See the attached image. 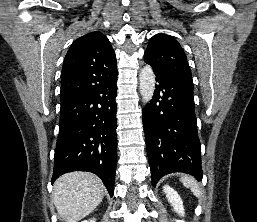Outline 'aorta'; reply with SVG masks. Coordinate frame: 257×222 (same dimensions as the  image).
<instances>
[{
  "mask_svg": "<svg viewBox=\"0 0 257 222\" xmlns=\"http://www.w3.org/2000/svg\"><path fill=\"white\" fill-rule=\"evenodd\" d=\"M140 94L144 103H148L155 89V75L151 66L146 65L142 68L139 76Z\"/></svg>",
  "mask_w": 257,
  "mask_h": 222,
  "instance_id": "obj_1",
  "label": "aorta"
}]
</instances>
